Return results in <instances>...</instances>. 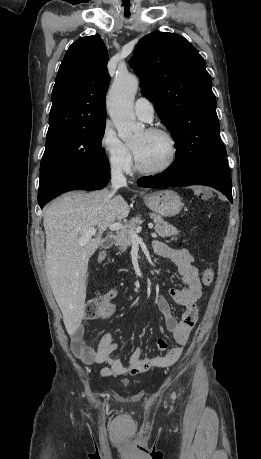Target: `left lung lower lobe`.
<instances>
[{
  "mask_svg": "<svg viewBox=\"0 0 261 459\" xmlns=\"http://www.w3.org/2000/svg\"><path fill=\"white\" fill-rule=\"evenodd\" d=\"M145 188L207 185L222 192L232 203L231 173L226 157L202 162L185 173L169 167L162 173L138 180Z\"/></svg>",
  "mask_w": 261,
  "mask_h": 459,
  "instance_id": "1",
  "label": "left lung lower lobe"
}]
</instances>
